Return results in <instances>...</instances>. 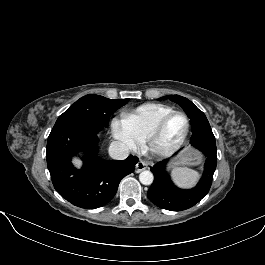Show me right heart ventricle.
<instances>
[{
    "mask_svg": "<svg viewBox=\"0 0 265 265\" xmlns=\"http://www.w3.org/2000/svg\"><path fill=\"white\" fill-rule=\"evenodd\" d=\"M173 109L159 103H146L122 114L127 128L139 140H143L156 122Z\"/></svg>",
    "mask_w": 265,
    "mask_h": 265,
    "instance_id": "e07e8e85",
    "label": "right heart ventricle"
}]
</instances>
